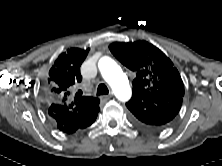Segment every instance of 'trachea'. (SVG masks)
Masks as SVG:
<instances>
[{"instance_id": "trachea-1", "label": "trachea", "mask_w": 222, "mask_h": 166, "mask_svg": "<svg viewBox=\"0 0 222 166\" xmlns=\"http://www.w3.org/2000/svg\"><path fill=\"white\" fill-rule=\"evenodd\" d=\"M109 93V90L107 86L103 83L99 84L97 88V95H107Z\"/></svg>"}]
</instances>
